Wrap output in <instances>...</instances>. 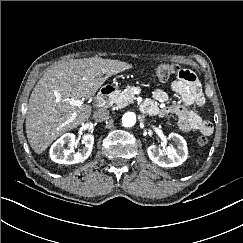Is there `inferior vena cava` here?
<instances>
[{
  "label": "inferior vena cava",
  "instance_id": "1",
  "mask_svg": "<svg viewBox=\"0 0 243 243\" xmlns=\"http://www.w3.org/2000/svg\"><path fill=\"white\" fill-rule=\"evenodd\" d=\"M108 116H109V111L105 108H99L95 110L93 114V118L99 122L106 120Z\"/></svg>",
  "mask_w": 243,
  "mask_h": 243
}]
</instances>
